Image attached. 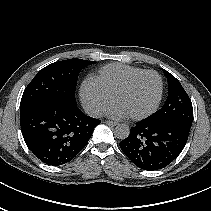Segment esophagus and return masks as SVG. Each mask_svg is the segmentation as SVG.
<instances>
[{
    "label": "esophagus",
    "instance_id": "34e87169",
    "mask_svg": "<svg viewBox=\"0 0 211 211\" xmlns=\"http://www.w3.org/2000/svg\"><path fill=\"white\" fill-rule=\"evenodd\" d=\"M105 123L109 126H116L118 124L117 122H113V121H109V120L105 121Z\"/></svg>",
    "mask_w": 211,
    "mask_h": 211
}]
</instances>
